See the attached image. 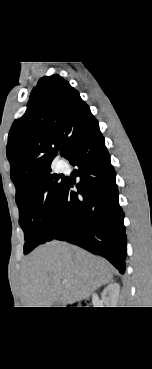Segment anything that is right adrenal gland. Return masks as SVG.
Returning <instances> with one entry per match:
<instances>
[{
	"mask_svg": "<svg viewBox=\"0 0 152 369\" xmlns=\"http://www.w3.org/2000/svg\"><path fill=\"white\" fill-rule=\"evenodd\" d=\"M108 282H110V280H109V281H107L105 284H107Z\"/></svg>",
	"mask_w": 152,
	"mask_h": 369,
	"instance_id": "2a0ac1e0",
	"label": "right adrenal gland"
}]
</instances>
